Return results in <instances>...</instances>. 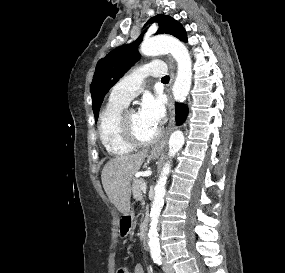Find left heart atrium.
Returning a JSON list of instances; mask_svg holds the SVG:
<instances>
[{
	"mask_svg": "<svg viewBox=\"0 0 285 273\" xmlns=\"http://www.w3.org/2000/svg\"><path fill=\"white\" fill-rule=\"evenodd\" d=\"M164 114L165 109L160 98L150 94L143 97L138 115L144 122L158 128L163 120Z\"/></svg>",
	"mask_w": 285,
	"mask_h": 273,
	"instance_id": "39dd6f15",
	"label": "left heart atrium"
}]
</instances>
